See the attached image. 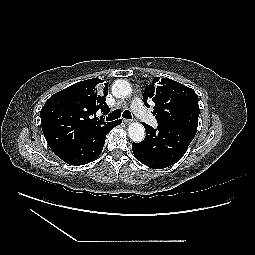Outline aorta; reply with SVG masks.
I'll return each instance as SVG.
<instances>
[{"label":"aorta","mask_w":255,"mask_h":255,"mask_svg":"<svg viewBox=\"0 0 255 255\" xmlns=\"http://www.w3.org/2000/svg\"><path fill=\"white\" fill-rule=\"evenodd\" d=\"M131 85L126 80H116L112 85V94L117 98L130 96ZM128 134L132 141L141 142L145 138V129L142 124L134 122L128 127Z\"/></svg>","instance_id":"762f6f07"}]
</instances>
